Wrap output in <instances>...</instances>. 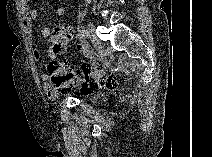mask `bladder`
<instances>
[{
    "label": "bladder",
    "mask_w": 212,
    "mask_h": 157,
    "mask_svg": "<svg viewBox=\"0 0 212 157\" xmlns=\"http://www.w3.org/2000/svg\"><path fill=\"white\" fill-rule=\"evenodd\" d=\"M89 103L93 106H102L106 101V95L100 92H91L88 95Z\"/></svg>",
    "instance_id": "1"
}]
</instances>
